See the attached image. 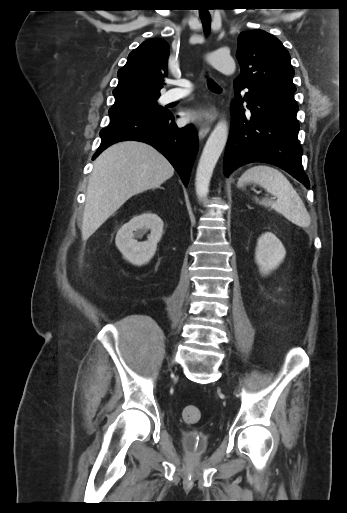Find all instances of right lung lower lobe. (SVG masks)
I'll return each mask as SVG.
<instances>
[{
  "label": "right lung lower lobe",
  "instance_id": "right-lung-lower-lobe-1",
  "mask_svg": "<svg viewBox=\"0 0 347 513\" xmlns=\"http://www.w3.org/2000/svg\"><path fill=\"white\" fill-rule=\"evenodd\" d=\"M173 120L169 111L159 116L131 115L111 119L110 125L100 131L102 141L93 159L119 141L145 142L169 160L187 186L198 151V138L192 125L180 129Z\"/></svg>",
  "mask_w": 347,
  "mask_h": 513
}]
</instances>
